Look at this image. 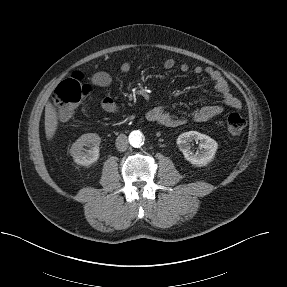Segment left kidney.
<instances>
[{
  "mask_svg": "<svg viewBox=\"0 0 287 287\" xmlns=\"http://www.w3.org/2000/svg\"><path fill=\"white\" fill-rule=\"evenodd\" d=\"M193 140L199 141L200 151L196 153H193L191 150V142ZM177 145L185 159L196 166H205L211 162L218 149V144L214 139L197 131L180 134L177 138Z\"/></svg>",
  "mask_w": 287,
  "mask_h": 287,
  "instance_id": "5707ae66",
  "label": "left kidney"
}]
</instances>
